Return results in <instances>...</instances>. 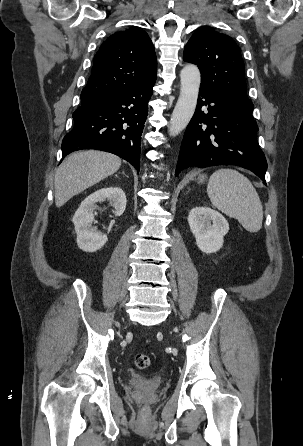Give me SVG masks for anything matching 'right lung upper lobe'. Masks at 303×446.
Instances as JSON below:
<instances>
[{
	"instance_id": "right-lung-upper-lobe-1",
	"label": "right lung upper lobe",
	"mask_w": 303,
	"mask_h": 446,
	"mask_svg": "<svg viewBox=\"0 0 303 446\" xmlns=\"http://www.w3.org/2000/svg\"><path fill=\"white\" fill-rule=\"evenodd\" d=\"M81 103L107 93L156 80L157 58L148 34L139 27L116 32L101 44Z\"/></svg>"
}]
</instances>
